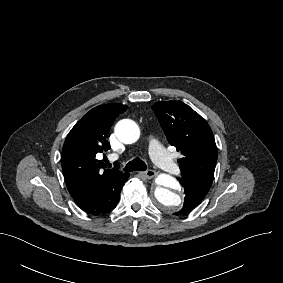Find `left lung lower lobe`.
Masks as SVG:
<instances>
[{"instance_id":"left-lung-lower-lobe-1","label":"left lung lower lobe","mask_w":283,"mask_h":283,"mask_svg":"<svg viewBox=\"0 0 283 283\" xmlns=\"http://www.w3.org/2000/svg\"><path fill=\"white\" fill-rule=\"evenodd\" d=\"M177 180L184 187L186 196L183 208L175 215H185L201 203L212 184L196 178L177 177Z\"/></svg>"}]
</instances>
